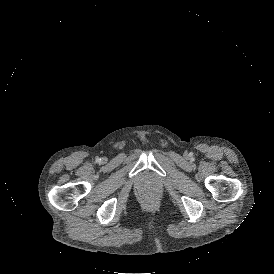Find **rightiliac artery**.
I'll return each mask as SVG.
<instances>
[{
  "instance_id": "82829eb1",
  "label": "right iliac artery",
  "mask_w": 274,
  "mask_h": 274,
  "mask_svg": "<svg viewBox=\"0 0 274 274\" xmlns=\"http://www.w3.org/2000/svg\"><path fill=\"white\" fill-rule=\"evenodd\" d=\"M100 161H101V158L97 157V158H96V162L99 163Z\"/></svg>"
}]
</instances>
